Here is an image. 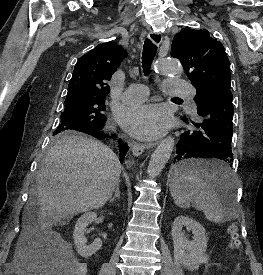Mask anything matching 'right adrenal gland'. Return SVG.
Masks as SVG:
<instances>
[{
  "mask_svg": "<svg viewBox=\"0 0 263 275\" xmlns=\"http://www.w3.org/2000/svg\"><path fill=\"white\" fill-rule=\"evenodd\" d=\"M119 186H120V182L117 184L116 189L114 191V196L110 199V202H113L116 200V198L120 197Z\"/></svg>",
  "mask_w": 263,
  "mask_h": 275,
  "instance_id": "obj_1",
  "label": "right adrenal gland"
}]
</instances>
